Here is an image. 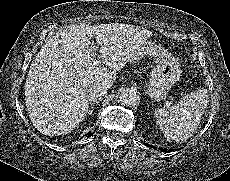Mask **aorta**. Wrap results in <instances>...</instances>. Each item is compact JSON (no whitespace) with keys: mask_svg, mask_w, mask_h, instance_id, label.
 Listing matches in <instances>:
<instances>
[{"mask_svg":"<svg viewBox=\"0 0 230 181\" xmlns=\"http://www.w3.org/2000/svg\"><path fill=\"white\" fill-rule=\"evenodd\" d=\"M119 101L122 105L127 107H135L140 103V97L131 89H125L119 96Z\"/></svg>","mask_w":230,"mask_h":181,"instance_id":"aorta-1","label":"aorta"}]
</instances>
